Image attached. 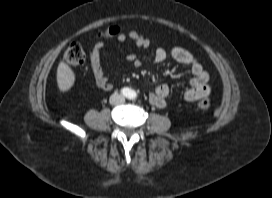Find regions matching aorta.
<instances>
[{
	"label": "aorta",
	"instance_id": "aorta-1",
	"mask_svg": "<svg viewBox=\"0 0 272 198\" xmlns=\"http://www.w3.org/2000/svg\"><path fill=\"white\" fill-rule=\"evenodd\" d=\"M127 97L130 98V99H134L136 98V92L132 89H129L128 92H127Z\"/></svg>",
	"mask_w": 272,
	"mask_h": 198
}]
</instances>
